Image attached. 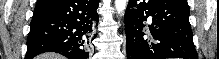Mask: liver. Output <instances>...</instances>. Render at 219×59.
<instances>
[{"mask_svg":"<svg viewBox=\"0 0 219 59\" xmlns=\"http://www.w3.org/2000/svg\"><path fill=\"white\" fill-rule=\"evenodd\" d=\"M35 59H64V57L56 53H44L37 56Z\"/></svg>","mask_w":219,"mask_h":59,"instance_id":"6515ba94","label":"liver"}]
</instances>
